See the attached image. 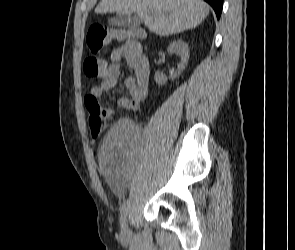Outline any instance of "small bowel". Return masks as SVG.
I'll use <instances>...</instances> for the list:
<instances>
[{
	"mask_svg": "<svg viewBox=\"0 0 295 250\" xmlns=\"http://www.w3.org/2000/svg\"><path fill=\"white\" fill-rule=\"evenodd\" d=\"M110 64L103 63L100 81L93 86L89 95L99 101L116 85L120 68L119 63L126 61L133 76L125 84L130 97H122L118 105L125 110L136 111L145 99L149 85V63L139 43L124 42L109 54ZM108 109L112 113L111 109ZM138 151V132L127 120H120L109 130L100 148V168L109 185L117 192L124 189L133 173Z\"/></svg>",
	"mask_w": 295,
	"mask_h": 250,
	"instance_id": "1",
	"label": "small bowel"
}]
</instances>
